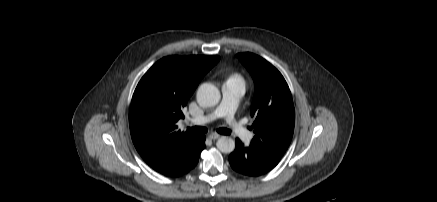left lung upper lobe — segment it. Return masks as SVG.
Here are the masks:
<instances>
[{"mask_svg":"<svg viewBox=\"0 0 437 202\" xmlns=\"http://www.w3.org/2000/svg\"><path fill=\"white\" fill-rule=\"evenodd\" d=\"M237 58L253 77L255 96L251 116L255 136L250 147L277 165L287 150L294 131L295 110L289 87L281 73L268 61L253 53Z\"/></svg>","mask_w":437,"mask_h":202,"instance_id":"1","label":"left lung upper lobe"}]
</instances>
